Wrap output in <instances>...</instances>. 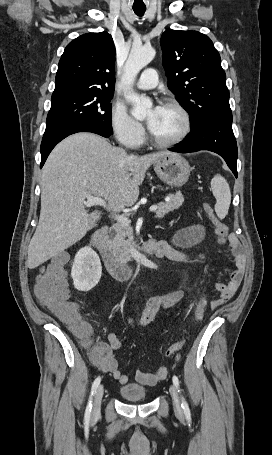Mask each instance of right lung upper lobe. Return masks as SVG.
Masks as SVG:
<instances>
[{"mask_svg":"<svg viewBox=\"0 0 272 455\" xmlns=\"http://www.w3.org/2000/svg\"><path fill=\"white\" fill-rule=\"evenodd\" d=\"M114 64L115 46L110 34L79 36L66 46L59 61L52 100L114 94Z\"/></svg>","mask_w":272,"mask_h":455,"instance_id":"obj_1","label":"right lung upper lobe"}]
</instances>
